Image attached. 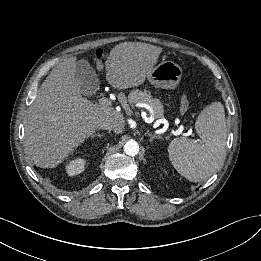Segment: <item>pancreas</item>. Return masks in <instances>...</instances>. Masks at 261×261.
Instances as JSON below:
<instances>
[{
  "instance_id": "obj_1",
  "label": "pancreas",
  "mask_w": 261,
  "mask_h": 261,
  "mask_svg": "<svg viewBox=\"0 0 261 261\" xmlns=\"http://www.w3.org/2000/svg\"><path fill=\"white\" fill-rule=\"evenodd\" d=\"M119 99L122 103L129 102L131 105L137 103H145L152 108L153 116L155 119H161L164 117V109L160 100L152 98V96L145 91L134 89L128 94L127 98L123 94H121L119 96Z\"/></svg>"
}]
</instances>
